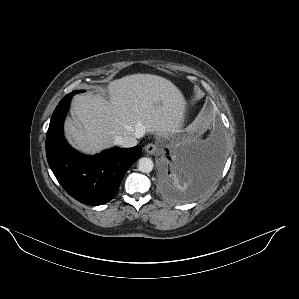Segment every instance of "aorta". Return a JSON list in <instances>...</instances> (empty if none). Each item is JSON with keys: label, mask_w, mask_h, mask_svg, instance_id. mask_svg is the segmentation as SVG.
Here are the masks:
<instances>
[{"label": "aorta", "mask_w": 299, "mask_h": 299, "mask_svg": "<svg viewBox=\"0 0 299 299\" xmlns=\"http://www.w3.org/2000/svg\"><path fill=\"white\" fill-rule=\"evenodd\" d=\"M153 161L150 158L143 157L138 161V170L143 173H149L153 169Z\"/></svg>", "instance_id": "obj_1"}]
</instances>
